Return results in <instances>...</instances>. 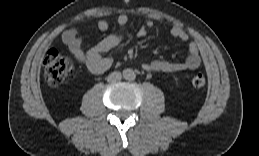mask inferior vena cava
<instances>
[{
    "instance_id": "obj_1",
    "label": "inferior vena cava",
    "mask_w": 259,
    "mask_h": 156,
    "mask_svg": "<svg viewBox=\"0 0 259 156\" xmlns=\"http://www.w3.org/2000/svg\"><path fill=\"white\" fill-rule=\"evenodd\" d=\"M122 78V75L120 72L115 71L108 75L107 81L108 82H116Z\"/></svg>"
}]
</instances>
